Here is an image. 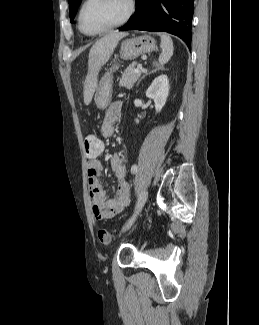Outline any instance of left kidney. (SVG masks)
<instances>
[{
	"instance_id": "left-kidney-1",
	"label": "left kidney",
	"mask_w": 259,
	"mask_h": 325,
	"mask_svg": "<svg viewBox=\"0 0 259 325\" xmlns=\"http://www.w3.org/2000/svg\"><path fill=\"white\" fill-rule=\"evenodd\" d=\"M169 95V81L166 75H160L154 79L146 91V96L154 100L156 112H160L164 107ZM139 120L136 119V123Z\"/></svg>"
}]
</instances>
